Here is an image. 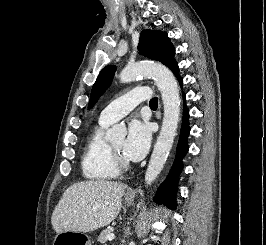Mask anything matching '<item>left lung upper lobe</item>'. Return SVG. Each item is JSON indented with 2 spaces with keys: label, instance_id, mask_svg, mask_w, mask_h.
I'll use <instances>...</instances> for the list:
<instances>
[{
  "label": "left lung upper lobe",
  "instance_id": "obj_1",
  "mask_svg": "<svg viewBox=\"0 0 266 245\" xmlns=\"http://www.w3.org/2000/svg\"><path fill=\"white\" fill-rule=\"evenodd\" d=\"M138 50L140 54L163 63L169 69L176 63L174 60L175 49L166 32L143 30L140 35ZM115 70L116 67L112 65L102 69L92 87L88 108H91L99 96L109 87Z\"/></svg>",
  "mask_w": 266,
  "mask_h": 245
}]
</instances>
